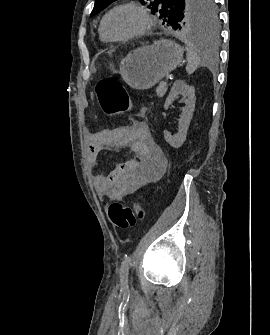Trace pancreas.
Returning <instances> with one entry per match:
<instances>
[{"mask_svg": "<svg viewBox=\"0 0 270 335\" xmlns=\"http://www.w3.org/2000/svg\"><path fill=\"white\" fill-rule=\"evenodd\" d=\"M167 92V82H160L159 86L156 88V94L159 98H163L164 94Z\"/></svg>", "mask_w": 270, "mask_h": 335, "instance_id": "1", "label": "pancreas"}]
</instances>
